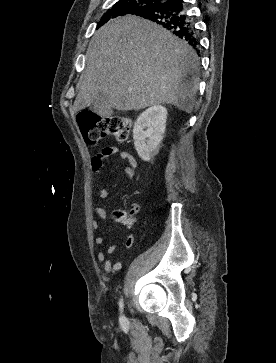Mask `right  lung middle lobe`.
Listing matches in <instances>:
<instances>
[{
    "label": "right lung middle lobe",
    "instance_id": "obj_1",
    "mask_svg": "<svg viewBox=\"0 0 276 363\" xmlns=\"http://www.w3.org/2000/svg\"><path fill=\"white\" fill-rule=\"evenodd\" d=\"M156 1L157 0H119L110 9H108L106 13H104L98 22L97 28L104 25L111 18L126 14H136L148 7H152Z\"/></svg>",
    "mask_w": 276,
    "mask_h": 363
}]
</instances>
